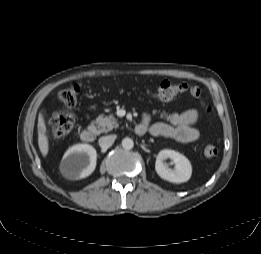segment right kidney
<instances>
[{
    "label": "right kidney",
    "mask_w": 261,
    "mask_h": 254,
    "mask_svg": "<svg viewBox=\"0 0 261 254\" xmlns=\"http://www.w3.org/2000/svg\"><path fill=\"white\" fill-rule=\"evenodd\" d=\"M97 153L89 144L70 147L62 159L60 169L64 177L78 180L88 177L96 167Z\"/></svg>",
    "instance_id": "right-kidney-1"
}]
</instances>
